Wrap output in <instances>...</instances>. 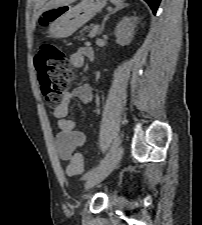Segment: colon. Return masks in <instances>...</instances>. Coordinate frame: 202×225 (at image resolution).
I'll list each match as a JSON object with an SVG mask.
<instances>
[{
    "mask_svg": "<svg viewBox=\"0 0 202 225\" xmlns=\"http://www.w3.org/2000/svg\"><path fill=\"white\" fill-rule=\"evenodd\" d=\"M45 21V17H42L41 22ZM37 57L38 79L44 101L48 106L55 107L61 103L71 85V64L61 49L51 44L42 45ZM80 167L79 160L74 159L69 163L67 171L70 175H76Z\"/></svg>",
    "mask_w": 202,
    "mask_h": 225,
    "instance_id": "1",
    "label": "colon"
}]
</instances>
